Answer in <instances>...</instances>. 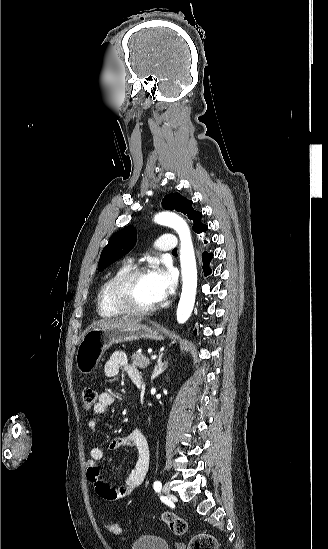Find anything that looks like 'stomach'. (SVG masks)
I'll return each mask as SVG.
<instances>
[{
    "label": "stomach",
    "mask_w": 328,
    "mask_h": 549,
    "mask_svg": "<svg viewBox=\"0 0 328 549\" xmlns=\"http://www.w3.org/2000/svg\"><path fill=\"white\" fill-rule=\"evenodd\" d=\"M138 339H156L164 341L162 331L152 329L149 325H132V327H103L97 329L92 327L86 331L77 351L76 367L82 375H90L96 369L103 353L116 345V343H127V341H138Z\"/></svg>",
    "instance_id": "1"
}]
</instances>
